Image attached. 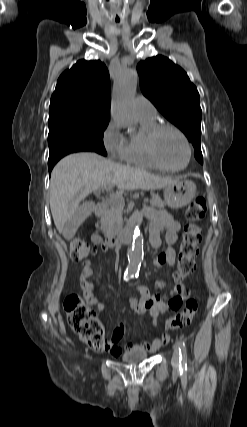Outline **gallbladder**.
I'll list each match as a JSON object with an SVG mask.
<instances>
[{"mask_svg": "<svg viewBox=\"0 0 247 427\" xmlns=\"http://www.w3.org/2000/svg\"><path fill=\"white\" fill-rule=\"evenodd\" d=\"M93 202H84L78 207L72 218L66 222L63 228V235L65 238H72L78 227L91 215L94 209Z\"/></svg>", "mask_w": 247, "mask_h": 427, "instance_id": "obj_1", "label": "gallbladder"}]
</instances>
